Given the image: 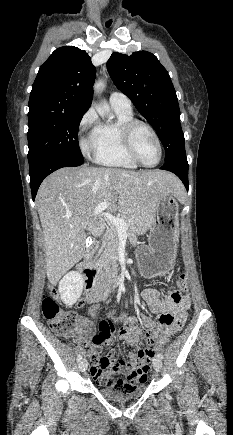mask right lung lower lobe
<instances>
[{
  "label": "right lung lower lobe",
  "mask_w": 233,
  "mask_h": 435,
  "mask_svg": "<svg viewBox=\"0 0 233 435\" xmlns=\"http://www.w3.org/2000/svg\"><path fill=\"white\" fill-rule=\"evenodd\" d=\"M83 163L60 156H46L29 163L30 186L34 200L41 182L50 173L62 167H76Z\"/></svg>",
  "instance_id": "right-lung-lower-lobe-1"
}]
</instances>
